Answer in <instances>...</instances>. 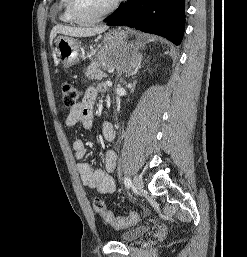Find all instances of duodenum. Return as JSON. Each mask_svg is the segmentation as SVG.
Returning a JSON list of instances; mask_svg holds the SVG:
<instances>
[{
    "label": "duodenum",
    "instance_id": "1",
    "mask_svg": "<svg viewBox=\"0 0 247 257\" xmlns=\"http://www.w3.org/2000/svg\"><path fill=\"white\" fill-rule=\"evenodd\" d=\"M108 90V88H107V86L105 87V89H104V91H107Z\"/></svg>",
    "mask_w": 247,
    "mask_h": 257
}]
</instances>
